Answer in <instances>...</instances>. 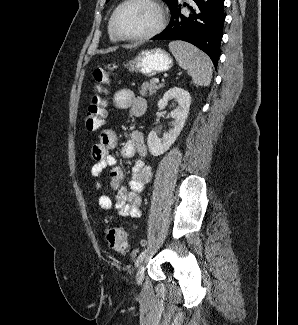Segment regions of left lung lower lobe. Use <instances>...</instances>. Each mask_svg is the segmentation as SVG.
<instances>
[{"mask_svg":"<svg viewBox=\"0 0 298 325\" xmlns=\"http://www.w3.org/2000/svg\"><path fill=\"white\" fill-rule=\"evenodd\" d=\"M191 12L181 13L178 0L170 5L169 25L152 40H183L209 55L217 67L225 19L224 0H193Z\"/></svg>","mask_w":298,"mask_h":325,"instance_id":"obj_1","label":"left lung lower lobe"}]
</instances>
